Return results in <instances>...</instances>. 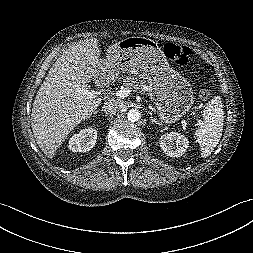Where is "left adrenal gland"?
I'll return each mask as SVG.
<instances>
[{
	"label": "left adrenal gland",
	"mask_w": 253,
	"mask_h": 253,
	"mask_svg": "<svg viewBox=\"0 0 253 253\" xmlns=\"http://www.w3.org/2000/svg\"><path fill=\"white\" fill-rule=\"evenodd\" d=\"M151 114V113H150ZM150 120H151V122L152 123H156V124H158V125H161V123L156 119V118H154V117H150Z\"/></svg>",
	"instance_id": "obj_1"
}]
</instances>
